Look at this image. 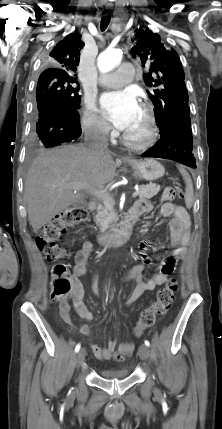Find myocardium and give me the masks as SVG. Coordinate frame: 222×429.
<instances>
[{
    "instance_id": "1",
    "label": "myocardium",
    "mask_w": 222,
    "mask_h": 429,
    "mask_svg": "<svg viewBox=\"0 0 222 429\" xmlns=\"http://www.w3.org/2000/svg\"><path fill=\"white\" fill-rule=\"evenodd\" d=\"M140 108L143 110L146 120V126L142 134L132 136L124 132L122 139L124 143L134 150H145L153 146L158 137V126L154 110L147 102H142Z\"/></svg>"
}]
</instances>
